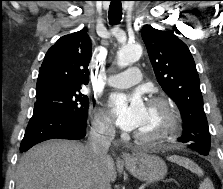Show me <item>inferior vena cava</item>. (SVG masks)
<instances>
[{
	"label": "inferior vena cava",
	"mask_w": 223,
	"mask_h": 189,
	"mask_svg": "<svg viewBox=\"0 0 223 189\" xmlns=\"http://www.w3.org/2000/svg\"><path fill=\"white\" fill-rule=\"evenodd\" d=\"M115 137V129L105 122H94L92 124L86 149L90 156L100 164L109 159L108 150ZM93 189H111L109 179L98 169L93 178Z\"/></svg>",
	"instance_id": "inferior-vena-cava-1"
}]
</instances>
